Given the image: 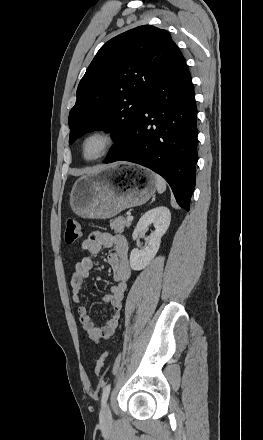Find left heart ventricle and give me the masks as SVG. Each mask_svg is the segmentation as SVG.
Segmentation results:
<instances>
[{"instance_id":"1","label":"left heart ventricle","mask_w":263,"mask_h":440,"mask_svg":"<svg viewBox=\"0 0 263 440\" xmlns=\"http://www.w3.org/2000/svg\"><path fill=\"white\" fill-rule=\"evenodd\" d=\"M103 147V140L99 137L89 139L85 145V154L87 157L96 156Z\"/></svg>"}]
</instances>
